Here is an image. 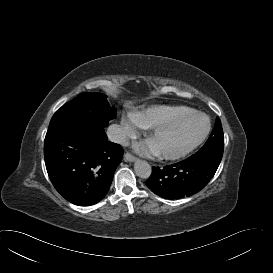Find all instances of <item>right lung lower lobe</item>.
I'll use <instances>...</instances> for the list:
<instances>
[{
    "mask_svg": "<svg viewBox=\"0 0 273 273\" xmlns=\"http://www.w3.org/2000/svg\"><path fill=\"white\" fill-rule=\"evenodd\" d=\"M123 148L107 140L104 127L67 116L52 118L44 141L49 178L56 190L79 206L107 194Z\"/></svg>",
    "mask_w": 273,
    "mask_h": 273,
    "instance_id": "right-lung-lower-lobe-1",
    "label": "right lung lower lobe"
}]
</instances>
